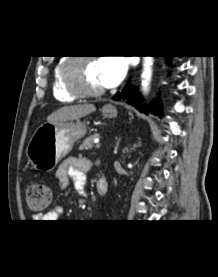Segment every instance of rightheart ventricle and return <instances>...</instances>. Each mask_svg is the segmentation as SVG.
<instances>
[{
    "label": "right heart ventricle",
    "instance_id": "obj_1",
    "mask_svg": "<svg viewBox=\"0 0 218 277\" xmlns=\"http://www.w3.org/2000/svg\"><path fill=\"white\" fill-rule=\"evenodd\" d=\"M64 61L59 60L53 68L52 72V94L54 98L63 103H69L76 100V97L69 94L63 87L61 78V65Z\"/></svg>",
    "mask_w": 218,
    "mask_h": 277
}]
</instances>
